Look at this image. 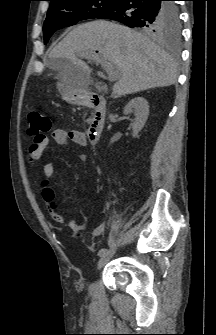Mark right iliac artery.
I'll return each instance as SVG.
<instances>
[{
    "label": "right iliac artery",
    "mask_w": 216,
    "mask_h": 335,
    "mask_svg": "<svg viewBox=\"0 0 216 335\" xmlns=\"http://www.w3.org/2000/svg\"><path fill=\"white\" fill-rule=\"evenodd\" d=\"M107 251H108V250H107L106 248H102V249L99 250L98 255L101 257V256H103L104 254H106Z\"/></svg>",
    "instance_id": "82829eb1"
}]
</instances>
